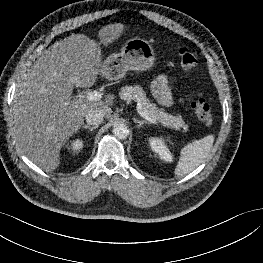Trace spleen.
I'll use <instances>...</instances> for the list:
<instances>
[{
    "mask_svg": "<svg viewBox=\"0 0 263 263\" xmlns=\"http://www.w3.org/2000/svg\"><path fill=\"white\" fill-rule=\"evenodd\" d=\"M213 142L214 136L208 135L183 147L174 171L175 175L182 177L203 163L213 147Z\"/></svg>",
    "mask_w": 263,
    "mask_h": 263,
    "instance_id": "obj_1",
    "label": "spleen"
}]
</instances>
